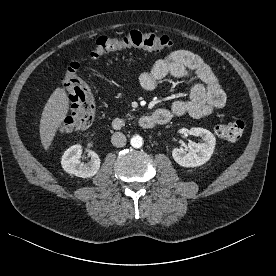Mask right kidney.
Segmentation results:
<instances>
[{"instance_id":"1","label":"right kidney","mask_w":276,"mask_h":276,"mask_svg":"<svg viewBox=\"0 0 276 276\" xmlns=\"http://www.w3.org/2000/svg\"><path fill=\"white\" fill-rule=\"evenodd\" d=\"M82 146L79 144L68 148L61 159L62 168L69 174L77 177L89 178L94 176L100 168V158L97 153L88 151L90 161L88 163L80 162L82 155Z\"/></svg>"}]
</instances>
